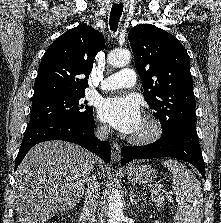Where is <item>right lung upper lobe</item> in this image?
Masks as SVG:
<instances>
[{
    "instance_id": "cb5924a9",
    "label": "right lung upper lobe",
    "mask_w": 221,
    "mask_h": 223,
    "mask_svg": "<svg viewBox=\"0 0 221 223\" xmlns=\"http://www.w3.org/2000/svg\"><path fill=\"white\" fill-rule=\"evenodd\" d=\"M104 46L103 35L85 24L57 38L40 63L32 102L84 93L95 56Z\"/></svg>"
}]
</instances>
